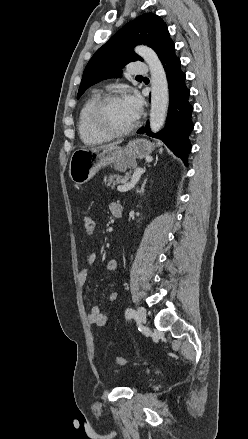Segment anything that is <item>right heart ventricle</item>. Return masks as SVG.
I'll list each match as a JSON object with an SVG mask.
<instances>
[{
  "label": "right heart ventricle",
  "instance_id": "e07e8e85",
  "mask_svg": "<svg viewBox=\"0 0 248 439\" xmlns=\"http://www.w3.org/2000/svg\"><path fill=\"white\" fill-rule=\"evenodd\" d=\"M99 98V93L93 92L82 105L78 115L79 136L81 141L88 146L98 145L111 139L110 136L97 131L90 122V111Z\"/></svg>",
  "mask_w": 248,
  "mask_h": 439
}]
</instances>
